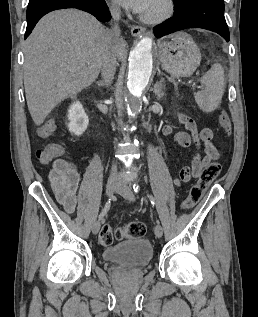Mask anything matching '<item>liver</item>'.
<instances>
[{
	"label": "liver",
	"instance_id": "6515ba94",
	"mask_svg": "<svg viewBox=\"0 0 258 317\" xmlns=\"http://www.w3.org/2000/svg\"><path fill=\"white\" fill-rule=\"evenodd\" d=\"M107 28L77 8L53 10L37 22L24 46V86L29 112L42 124L58 102L97 78ZM120 38L118 54H125Z\"/></svg>",
	"mask_w": 258,
	"mask_h": 317
}]
</instances>
